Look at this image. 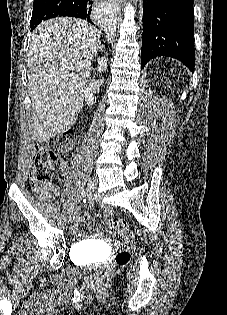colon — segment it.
I'll return each instance as SVG.
<instances>
[{
  "label": "colon",
  "instance_id": "colon-1",
  "mask_svg": "<svg viewBox=\"0 0 227 315\" xmlns=\"http://www.w3.org/2000/svg\"><path fill=\"white\" fill-rule=\"evenodd\" d=\"M76 138L73 134L63 132L48 139L45 144H37L33 152V165L30 172L31 184L36 189H48L55 166L59 161L68 159ZM110 229L114 234L127 238L132 237V232L126 221L113 218L110 221ZM130 254L127 251L119 252L115 257L117 265H125L129 262ZM110 267L105 266L99 271L101 278L107 277Z\"/></svg>",
  "mask_w": 227,
  "mask_h": 315
}]
</instances>
